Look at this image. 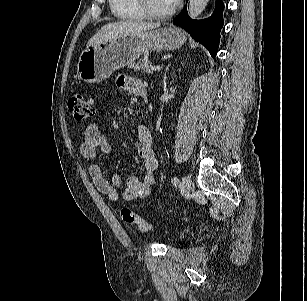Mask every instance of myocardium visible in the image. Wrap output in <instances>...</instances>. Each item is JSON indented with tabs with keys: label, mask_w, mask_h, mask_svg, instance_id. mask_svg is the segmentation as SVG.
<instances>
[{
	"label": "myocardium",
	"mask_w": 307,
	"mask_h": 301,
	"mask_svg": "<svg viewBox=\"0 0 307 301\" xmlns=\"http://www.w3.org/2000/svg\"><path fill=\"white\" fill-rule=\"evenodd\" d=\"M136 1L138 3L139 8L145 14V16L151 19H165V18L172 16L176 11V8H175L176 6H173L169 11L159 13V12L154 11L150 7L148 0H136Z\"/></svg>",
	"instance_id": "obj_1"
}]
</instances>
